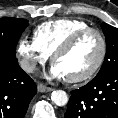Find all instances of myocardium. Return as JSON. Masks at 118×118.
I'll return each instance as SVG.
<instances>
[{"instance_id": "1", "label": "myocardium", "mask_w": 118, "mask_h": 118, "mask_svg": "<svg viewBox=\"0 0 118 118\" xmlns=\"http://www.w3.org/2000/svg\"><path fill=\"white\" fill-rule=\"evenodd\" d=\"M88 34H95L98 37L100 41V54L93 67L90 70H88L86 73L79 76L66 78V81L69 83H79V82L87 81L91 79L100 70V68L102 67L106 59L107 50H108V45H107V40L105 35L101 30L94 27H88L82 29L74 33L72 36H70L63 44H61L53 52L51 56L52 63H55L58 57L69 52L82 38H84Z\"/></svg>"}]
</instances>
